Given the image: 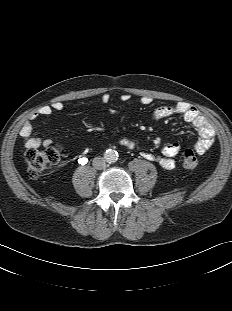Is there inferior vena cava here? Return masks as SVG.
<instances>
[{
  "instance_id": "602c4592",
  "label": "inferior vena cava",
  "mask_w": 232,
  "mask_h": 311,
  "mask_svg": "<svg viewBox=\"0 0 232 311\" xmlns=\"http://www.w3.org/2000/svg\"><path fill=\"white\" fill-rule=\"evenodd\" d=\"M92 164H93V167L95 169L101 170V169L105 168L106 160L103 157L98 156V157H95L93 159V163Z\"/></svg>"
}]
</instances>
